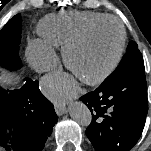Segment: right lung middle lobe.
I'll list each match as a JSON object with an SVG mask.
<instances>
[{
	"label": "right lung middle lobe",
	"instance_id": "right-lung-middle-lobe-1",
	"mask_svg": "<svg viewBox=\"0 0 151 151\" xmlns=\"http://www.w3.org/2000/svg\"><path fill=\"white\" fill-rule=\"evenodd\" d=\"M21 22V16L17 14L0 31V66L11 70L21 67V60L18 55Z\"/></svg>",
	"mask_w": 151,
	"mask_h": 151
}]
</instances>
